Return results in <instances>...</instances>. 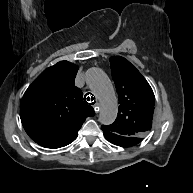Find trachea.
Returning a JSON list of instances; mask_svg holds the SVG:
<instances>
[{
    "label": "trachea",
    "mask_w": 193,
    "mask_h": 193,
    "mask_svg": "<svg viewBox=\"0 0 193 193\" xmlns=\"http://www.w3.org/2000/svg\"><path fill=\"white\" fill-rule=\"evenodd\" d=\"M89 94H91V93H87V94L85 95V102H86V103L90 102V103H88V104L93 105V104L96 102V100H94V97H92V96H87V95H89ZM86 96H87V98H86ZM93 100H94V101H93ZM87 101H88V102H87Z\"/></svg>",
    "instance_id": "trachea-1"
}]
</instances>
